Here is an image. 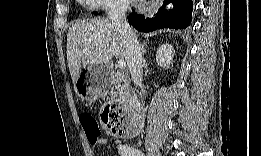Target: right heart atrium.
I'll return each instance as SVG.
<instances>
[{
  "mask_svg": "<svg viewBox=\"0 0 261 156\" xmlns=\"http://www.w3.org/2000/svg\"><path fill=\"white\" fill-rule=\"evenodd\" d=\"M88 4L94 7H101L105 9L114 8L116 6H119L120 4L115 1H106V0H90L88 1Z\"/></svg>",
  "mask_w": 261,
  "mask_h": 156,
  "instance_id": "right-heart-atrium-1",
  "label": "right heart atrium"
}]
</instances>
